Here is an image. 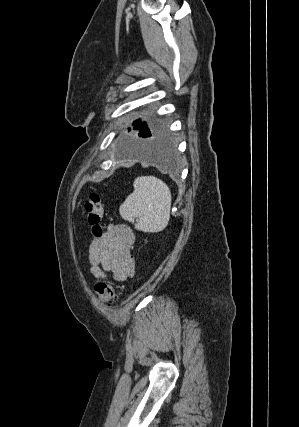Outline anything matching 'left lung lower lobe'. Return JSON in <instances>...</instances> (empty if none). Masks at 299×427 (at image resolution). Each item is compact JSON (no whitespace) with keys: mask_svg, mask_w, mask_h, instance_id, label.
<instances>
[{"mask_svg":"<svg viewBox=\"0 0 299 427\" xmlns=\"http://www.w3.org/2000/svg\"><path fill=\"white\" fill-rule=\"evenodd\" d=\"M144 143L138 148V155L143 160L166 168H175L174 146L158 128L147 133Z\"/></svg>","mask_w":299,"mask_h":427,"instance_id":"obj_1","label":"left lung lower lobe"}]
</instances>
